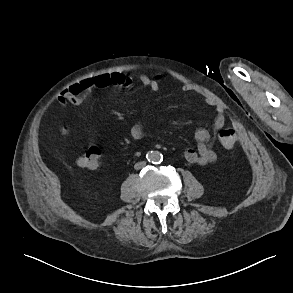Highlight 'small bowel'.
<instances>
[{"label":"small bowel","mask_w":293,"mask_h":293,"mask_svg":"<svg viewBox=\"0 0 293 293\" xmlns=\"http://www.w3.org/2000/svg\"><path fill=\"white\" fill-rule=\"evenodd\" d=\"M162 78L160 74L156 75L154 78L143 75L139 78V85L156 92L159 89V82ZM110 87L132 89L134 88V84L132 80L122 72L101 73L72 84L58 96V101L62 104L70 103L79 106L88 99L93 91ZM180 88L184 92L194 90L187 84H181ZM224 125L225 116L223 110L217 108L213 129H220ZM142 134V125L140 123L133 124L131 127L132 137L140 139ZM194 139L196 141V148L186 149L184 153L185 160L190 164L199 165H206L214 162L217 158V154L211 147V133L207 129H198L194 133Z\"/></svg>","instance_id":"small-bowel-1"}]
</instances>
